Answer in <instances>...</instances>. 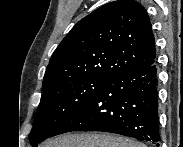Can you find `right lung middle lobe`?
Wrapping results in <instances>:
<instances>
[{
  "label": "right lung middle lobe",
  "mask_w": 183,
  "mask_h": 147,
  "mask_svg": "<svg viewBox=\"0 0 183 147\" xmlns=\"http://www.w3.org/2000/svg\"><path fill=\"white\" fill-rule=\"evenodd\" d=\"M109 80L83 78L42 88L29 140L32 146L52 137L56 129Z\"/></svg>",
  "instance_id": "1"
}]
</instances>
